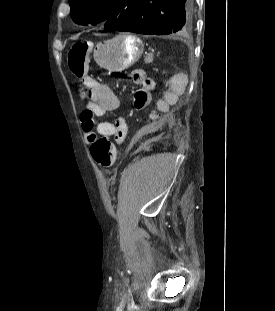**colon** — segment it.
<instances>
[{
  "label": "colon",
  "instance_id": "5ec220e1",
  "mask_svg": "<svg viewBox=\"0 0 275 311\" xmlns=\"http://www.w3.org/2000/svg\"><path fill=\"white\" fill-rule=\"evenodd\" d=\"M90 48V42L77 41L68 51V66L79 79H83L86 75L87 57ZM90 153L95 163L103 168L113 166L117 158L114 145L107 137L95 136L90 147Z\"/></svg>",
  "mask_w": 275,
  "mask_h": 311
}]
</instances>
